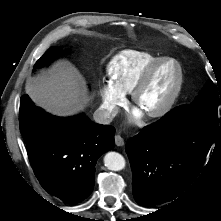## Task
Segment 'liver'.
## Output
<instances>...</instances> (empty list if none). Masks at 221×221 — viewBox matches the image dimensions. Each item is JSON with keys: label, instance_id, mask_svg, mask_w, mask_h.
I'll return each mask as SVG.
<instances>
[{"label": "liver", "instance_id": "obj_1", "mask_svg": "<svg viewBox=\"0 0 221 221\" xmlns=\"http://www.w3.org/2000/svg\"><path fill=\"white\" fill-rule=\"evenodd\" d=\"M26 92L36 105L57 116L75 114L89 101L81 74L67 62L56 65L45 76L28 80Z\"/></svg>", "mask_w": 221, "mask_h": 221}]
</instances>
